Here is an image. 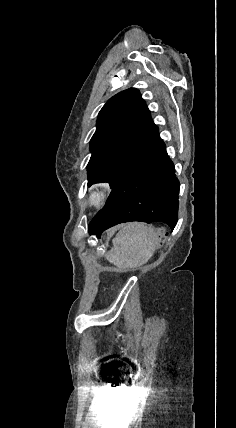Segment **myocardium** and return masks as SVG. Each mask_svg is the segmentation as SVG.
I'll use <instances>...</instances> for the list:
<instances>
[{
  "mask_svg": "<svg viewBox=\"0 0 236 428\" xmlns=\"http://www.w3.org/2000/svg\"><path fill=\"white\" fill-rule=\"evenodd\" d=\"M112 189L104 182L92 184L86 194V203L88 207L98 209L103 207L111 198Z\"/></svg>",
  "mask_w": 236,
  "mask_h": 428,
  "instance_id": "myocardium-1",
  "label": "myocardium"
}]
</instances>
